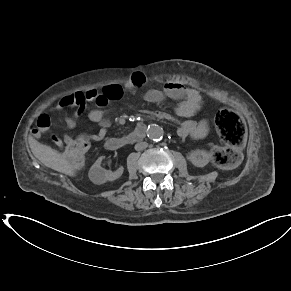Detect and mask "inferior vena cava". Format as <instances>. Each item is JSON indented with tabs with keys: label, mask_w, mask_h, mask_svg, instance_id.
<instances>
[{
	"label": "inferior vena cava",
	"mask_w": 291,
	"mask_h": 291,
	"mask_svg": "<svg viewBox=\"0 0 291 291\" xmlns=\"http://www.w3.org/2000/svg\"><path fill=\"white\" fill-rule=\"evenodd\" d=\"M148 147V143L147 142H138L135 145V150L140 151V150H144Z\"/></svg>",
	"instance_id": "inferior-vena-cava-1"
}]
</instances>
